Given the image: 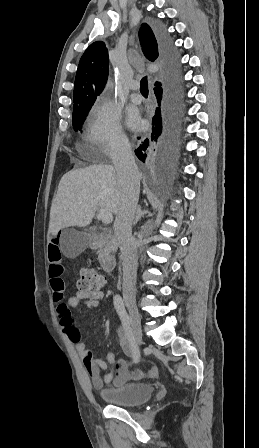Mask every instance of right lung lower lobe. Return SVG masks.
Listing matches in <instances>:
<instances>
[{
    "label": "right lung lower lobe",
    "instance_id": "1",
    "mask_svg": "<svg viewBox=\"0 0 259 448\" xmlns=\"http://www.w3.org/2000/svg\"><path fill=\"white\" fill-rule=\"evenodd\" d=\"M155 33L159 42L160 60L164 67V96L162 87L156 86L154 93L159 107L152 119L150 141L158 143L163 159L168 166H173L181 152V116H182V80L177 56L172 41L163 26H156ZM139 139V138H138ZM149 139H145L136 150V156L142 161L150 155Z\"/></svg>",
    "mask_w": 259,
    "mask_h": 448
}]
</instances>
